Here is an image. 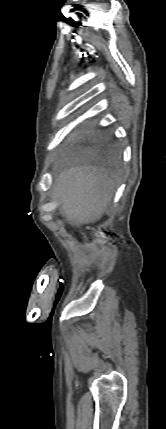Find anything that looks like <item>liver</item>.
<instances>
[{
  "label": "liver",
  "mask_w": 166,
  "mask_h": 429,
  "mask_svg": "<svg viewBox=\"0 0 166 429\" xmlns=\"http://www.w3.org/2000/svg\"><path fill=\"white\" fill-rule=\"evenodd\" d=\"M116 177L103 168L76 166L61 172L55 194L62 215L76 226L99 220L110 205Z\"/></svg>",
  "instance_id": "1"
}]
</instances>
